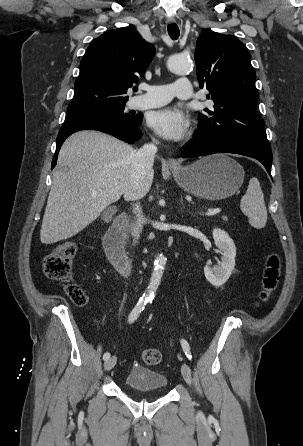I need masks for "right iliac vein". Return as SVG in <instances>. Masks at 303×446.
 Segmentation results:
<instances>
[{
	"label": "right iliac vein",
	"mask_w": 303,
	"mask_h": 446,
	"mask_svg": "<svg viewBox=\"0 0 303 446\" xmlns=\"http://www.w3.org/2000/svg\"><path fill=\"white\" fill-rule=\"evenodd\" d=\"M117 358L115 356L110 357L106 362L104 363V370L109 371L111 370L115 364H116Z\"/></svg>",
	"instance_id": "1"
}]
</instances>
